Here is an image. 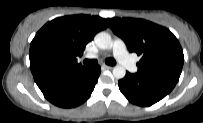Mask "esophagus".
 I'll return each mask as SVG.
<instances>
[{"label":"esophagus","mask_w":203,"mask_h":123,"mask_svg":"<svg viewBox=\"0 0 203 123\" xmlns=\"http://www.w3.org/2000/svg\"><path fill=\"white\" fill-rule=\"evenodd\" d=\"M102 68H103V69L110 70V69H112L113 67H112V66H109V65L103 64V65H102Z\"/></svg>","instance_id":"esophagus-1"}]
</instances>
